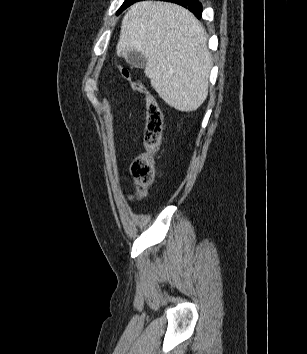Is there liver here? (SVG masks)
I'll return each instance as SVG.
<instances>
[{"mask_svg":"<svg viewBox=\"0 0 307 354\" xmlns=\"http://www.w3.org/2000/svg\"><path fill=\"white\" fill-rule=\"evenodd\" d=\"M116 51L145 56L144 73L170 107L191 112L206 100L212 56L205 28L188 9L161 1L133 4L122 20Z\"/></svg>","mask_w":307,"mask_h":354,"instance_id":"6515ba94","label":"liver"}]
</instances>
